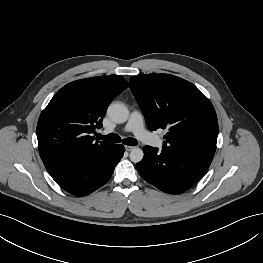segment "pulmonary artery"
<instances>
[{"mask_svg":"<svg viewBox=\"0 0 263 263\" xmlns=\"http://www.w3.org/2000/svg\"><path fill=\"white\" fill-rule=\"evenodd\" d=\"M124 131L132 132L140 141L148 143L152 146L161 148L163 142L157 136L148 132L144 127L143 116L139 111H133L126 125Z\"/></svg>","mask_w":263,"mask_h":263,"instance_id":"1","label":"pulmonary artery"}]
</instances>
